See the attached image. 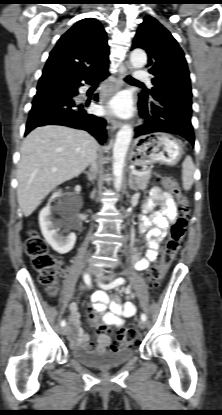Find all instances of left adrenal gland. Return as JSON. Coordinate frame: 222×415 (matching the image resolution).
I'll list each match as a JSON object with an SVG mask.
<instances>
[{
    "label": "left adrenal gland",
    "mask_w": 222,
    "mask_h": 415,
    "mask_svg": "<svg viewBox=\"0 0 222 415\" xmlns=\"http://www.w3.org/2000/svg\"><path fill=\"white\" fill-rule=\"evenodd\" d=\"M128 185L131 190H134V191L138 190L134 184V177L131 172L129 173Z\"/></svg>",
    "instance_id": "a2214340"
}]
</instances>
